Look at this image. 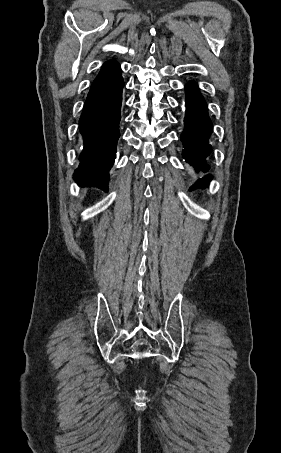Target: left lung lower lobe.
<instances>
[{"label":"left lung lower lobe","mask_w":281,"mask_h":453,"mask_svg":"<svg viewBox=\"0 0 281 453\" xmlns=\"http://www.w3.org/2000/svg\"><path fill=\"white\" fill-rule=\"evenodd\" d=\"M185 101V128L181 135V141L184 146L183 158L196 171L202 170L205 173L209 170L205 159L212 150L208 141L212 133V123L207 113L206 102L201 96L196 83L189 82L187 84ZM211 178V175H205L203 178L198 179L190 189L206 186Z\"/></svg>","instance_id":"obj_1"}]
</instances>
